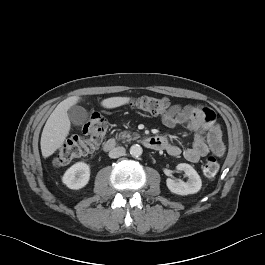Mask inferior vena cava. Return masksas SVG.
<instances>
[{
  "instance_id": "inferior-vena-cava-1",
  "label": "inferior vena cava",
  "mask_w": 265,
  "mask_h": 265,
  "mask_svg": "<svg viewBox=\"0 0 265 265\" xmlns=\"http://www.w3.org/2000/svg\"><path fill=\"white\" fill-rule=\"evenodd\" d=\"M126 150L124 147H115L109 152L110 158H118L125 154Z\"/></svg>"
}]
</instances>
